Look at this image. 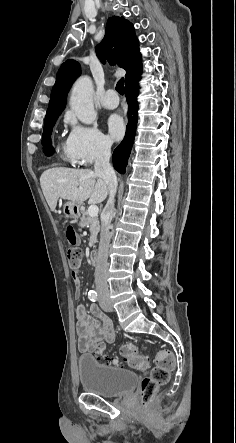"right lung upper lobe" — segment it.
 I'll list each match as a JSON object with an SVG mask.
<instances>
[{
    "label": "right lung upper lobe",
    "instance_id": "obj_1",
    "mask_svg": "<svg viewBox=\"0 0 236 443\" xmlns=\"http://www.w3.org/2000/svg\"><path fill=\"white\" fill-rule=\"evenodd\" d=\"M96 52L102 62L105 60L111 64L115 62L125 69V79L142 66V56L134 27L123 17L112 16L107 20L105 36L96 46ZM80 74V65L74 60H67L61 65L51 92L45 121L60 115L66 105L67 93Z\"/></svg>",
    "mask_w": 236,
    "mask_h": 443
}]
</instances>
